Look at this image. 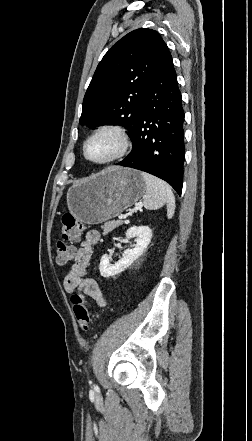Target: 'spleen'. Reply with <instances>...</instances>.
<instances>
[{"instance_id": "obj_1", "label": "spleen", "mask_w": 252, "mask_h": 441, "mask_svg": "<svg viewBox=\"0 0 252 441\" xmlns=\"http://www.w3.org/2000/svg\"><path fill=\"white\" fill-rule=\"evenodd\" d=\"M146 183V195L143 205L148 210L161 208L166 204L167 217L172 218L175 211V197L170 186L161 179L148 173H141Z\"/></svg>"}]
</instances>
